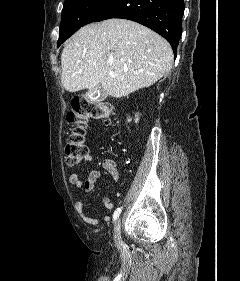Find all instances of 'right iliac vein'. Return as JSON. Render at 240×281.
Wrapping results in <instances>:
<instances>
[{
    "mask_svg": "<svg viewBox=\"0 0 240 281\" xmlns=\"http://www.w3.org/2000/svg\"><path fill=\"white\" fill-rule=\"evenodd\" d=\"M114 232H115L116 240L120 242V239H121V222H120V219H118L115 223Z\"/></svg>",
    "mask_w": 240,
    "mask_h": 281,
    "instance_id": "63e3f726",
    "label": "right iliac vein"
}]
</instances>
